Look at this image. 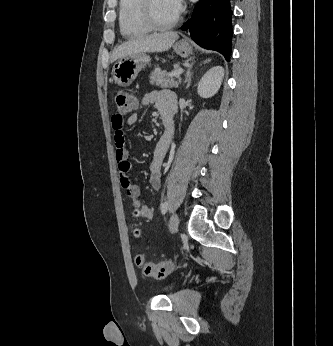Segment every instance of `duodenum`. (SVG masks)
<instances>
[{"label":"duodenum","instance_id":"obj_1","mask_svg":"<svg viewBox=\"0 0 333 346\" xmlns=\"http://www.w3.org/2000/svg\"><path fill=\"white\" fill-rule=\"evenodd\" d=\"M162 122H163V126H164V130H163V135L164 136H169L171 133V125L170 122L167 118L163 117L162 118Z\"/></svg>","mask_w":333,"mask_h":346}]
</instances>
